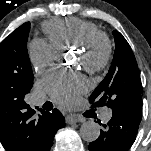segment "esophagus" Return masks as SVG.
<instances>
[{
    "instance_id": "1",
    "label": "esophagus",
    "mask_w": 151,
    "mask_h": 151,
    "mask_svg": "<svg viewBox=\"0 0 151 151\" xmlns=\"http://www.w3.org/2000/svg\"><path fill=\"white\" fill-rule=\"evenodd\" d=\"M65 120L67 124H74L81 121V119L76 115H67Z\"/></svg>"
}]
</instances>
